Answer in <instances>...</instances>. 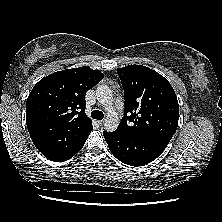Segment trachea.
I'll return each mask as SVG.
<instances>
[{
	"label": "trachea",
	"instance_id": "1",
	"mask_svg": "<svg viewBox=\"0 0 222 222\" xmlns=\"http://www.w3.org/2000/svg\"><path fill=\"white\" fill-rule=\"evenodd\" d=\"M93 119L102 120L104 118V114L102 111L94 110L91 113Z\"/></svg>",
	"mask_w": 222,
	"mask_h": 222
}]
</instances>
